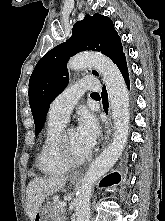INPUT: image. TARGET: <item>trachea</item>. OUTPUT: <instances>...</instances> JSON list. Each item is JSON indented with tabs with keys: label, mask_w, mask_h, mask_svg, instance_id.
<instances>
[{
	"label": "trachea",
	"mask_w": 165,
	"mask_h": 221,
	"mask_svg": "<svg viewBox=\"0 0 165 221\" xmlns=\"http://www.w3.org/2000/svg\"><path fill=\"white\" fill-rule=\"evenodd\" d=\"M93 95H98V93H92Z\"/></svg>",
	"instance_id": "1"
}]
</instances>
